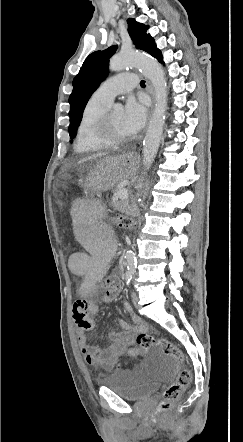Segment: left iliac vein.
<instances>
[{"instance_id": "obj_1", "label": "left iliac vein", "mask_w": 243, "mask_h": 442, "mask_svg": "<svg viewBox=\"0 0 243 442\" xmlns=\"http://www.w3.org/2000/svg\"><path fill=\"white\" fill-rule=\"evenodd\" d=\"M131 299H132V302H133L134 306H137L138 296H137V294L135 292L131 293Z\"/></svg>"}]
</instances>
